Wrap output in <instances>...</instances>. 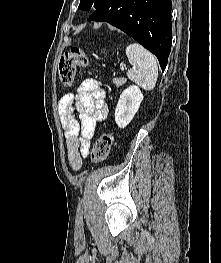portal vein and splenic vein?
I'll return each instance as SVG.
<instances>
[{
    "instance_id": "1",
    "label": "portal vein and splenic vein",
    "mask_w": 221,
    "mask_h": 263,
    "mask_svg": "<svg viewBox=\"0 0 221 263\" xmlns=\"http://www.w3.org/2000/svg\"><path fill=\"white\" fill-rule=\"evenodd\" d=\"M120 69H121L122 71H124L125 66H124V65H121Z\"/></svg>"
}]
</instances>
